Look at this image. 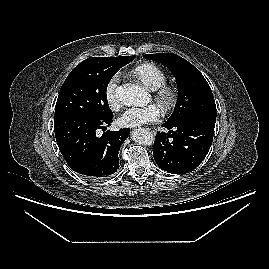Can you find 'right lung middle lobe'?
Listing matches in <instances>:
<instances>
[{
	"mask_svg": "<svg viewBox=\"0 0 269 269\" xmlns=\"http://www.w3.org/2000/svg\"><path fill=\"white\" fill-rule=\"evenodd\" d=\"M135 56L120 61L81 62L64 81L55 106V115L88 114L99 119L112 116L106 90L114 74Z\"/></svg>",
	"mask_w": 269,
	"mask_h": 269,
	"instance_id": "right-lung-middle-lobe-1",
	"label": "right lung middle lobe"
}]
</instances>
